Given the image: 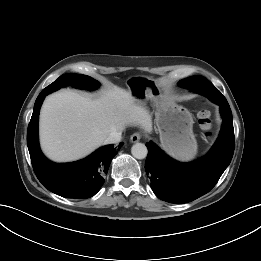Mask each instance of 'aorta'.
I'll list each match as a JSON object with an SVG mask.
<instances>
[{
  "label": "aorta",
  "mask_w": 261,
  "mask_h": 261,
  "mask_svg": "<svg viewBox=\"0 0 261 261\" xmlns=\"http://www.w3.org/2000/svg\"><path fill=\"white\" fill-rule=\"evenodd\" d=\"M131 153L136 159H144L147 156L148 150L143 143H136L132 146Z\"/></svg>",
  "instance_id": "762f6f07"
}]
</instances>
